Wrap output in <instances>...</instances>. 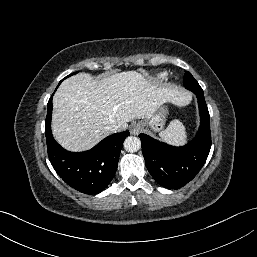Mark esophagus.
<instances>
[{"instance_id":"1","label":"esophagus","mask_w":257,"mask_h":257,"mask_svg":"<svg viewBox=\"0 0 257 257\" xmlns=\"http://www.w3.org/2000/svg\"><path fill=\"white\" fill-rule=\"evenodd\" d=\"M142 129V126L141 124L139 123H134L132 126H131V133L133 135H136L140 132V130Z\"/></svg>"}]
</instances>
